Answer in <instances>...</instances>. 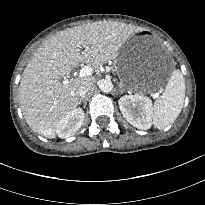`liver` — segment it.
<instances>
[{
	"instance_id": "6515ba94",
	"label": "liver",
	"mask_w": 205,
	"mask_h": 205,
	"mask_svg": "<svg viewBox=\"0 0 205 205\" xmlns=\"http://www.w3.org/2000/svg\"><path fill=\"white\" fill-rule=\"evenodd\" d=\"M136 31L125 23L97 21L63 30L43 43L25 67L19 86L21 110L29 127L46 138H55L58 121L77 107L79 87L91 79L77 78L64 84L60 78L81 62L97 67L114 60Z\"/></svg>"
}]
</instances>
